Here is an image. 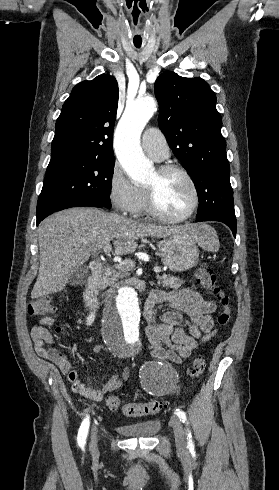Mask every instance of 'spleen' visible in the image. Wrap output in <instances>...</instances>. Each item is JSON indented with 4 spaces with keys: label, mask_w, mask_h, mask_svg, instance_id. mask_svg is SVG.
<instances>
[{
    "label": "spleen",
    "mask_w": 279,
    "mask_h": 490,
    "mask_svg": "<svg viewBox=\"0 0 279 490\" xmlns=\"http://www.w3.org/2000/svg\"><path fill=\"white\" fill-rule=\"evenodd\" d=\"M198 244L203 250H207V252H218L219 240L214 228L205 224Z\"/></svg>",
    "instance_id": "obj_1"
}]
</instances>
